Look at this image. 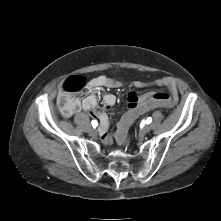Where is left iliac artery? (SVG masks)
Listing matches in <instances>:
<instances>
[{"label": "left iliac artery", "mask_w": 221, "mask_h": 221, "mask_svg": "<svg viewBox=\"0 0 221 221\" xmlns=\"http://www.w3.org/2000/svg\"><path fill=\"white\" fill-rule=\"evenodd\" d=\"M152 122V118L151 117H148L147 119H146V123L147 124H150Z\"/></svg>", "instance_id": "1"}]
</instances>
